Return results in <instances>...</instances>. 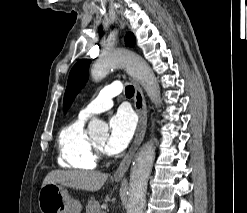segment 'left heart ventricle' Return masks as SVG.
Listing matches in <instances>:
<instances>
[{"label": "left heart ventricle", "mask_w": 247, "mask_h": 213, "mask_svg": "<svg viewBox=\"0 0 247 213\" xmlns=\"http://www.w3.org/2000/svg\"><path fill=\"white\" fill-rule=\"evenodd\" d=\"M94 142L98 145V146H100V147H104V145H105V142H106V137H102V138H99V139H96V140H94Z\"/></svg>", "instance_id": "b2bd125f"}]
</instances>
